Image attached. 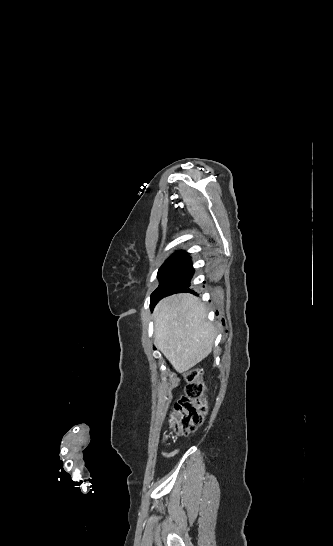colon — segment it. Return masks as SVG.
I'll return each instance as SVG.
<instances>
[{
    "mask_svg": "<svg viewBox=\"0 0 333 546\" xmlns=\"http://www.w3.org/2000/svg\"><path fill=\"white\" fill-rule=\"evenodd\" d=\"M185 379L188 384L187 394L174 405L170 419L173 432L181 435L193 433L202 424L207 412L206 389L201 371L189 370Z\"/></svg>",
    "mask_w": 333,
    "mask_h": 546,
    "instance_id": "colon-1",
    "label": "colon"
}]
</instances>
